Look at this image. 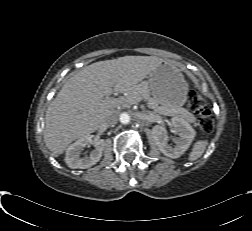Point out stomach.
Listing matches in <instances>:
<instances>
[{"label": "stomach", "mask_w": 252, "mask_h": 231, "mask_svg": "<svg viewBox=\"0 0 252 231\" xmlns=\"http://www.w3.org/2000/svg\"><path fill=\"white\" fill-rule=\"evenodd\" d=\"M148 87L159 106L178 108L184 105L189 86L178 68L163 61L150 72Z\"/></svg>", "instance_id": "1"}]
</instances>
